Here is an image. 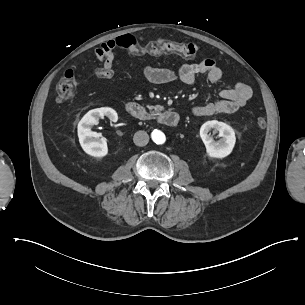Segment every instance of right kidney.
I'll use <instances>...</instances> for the list:
<instances>
[{"label":"right kidney","instance_id":"ca27d5eb","mask_svg":"<svg viewBox=\"0 0 305 305\" xmlns=\"http://www.w3.org/2000/svg\"><path fill=\"white\" fill-rule=\"evenodd\" d=\"M108 117L111 122L118 120L117 113L112 108H98L87 112L78 124V138L83 151L89 156L102 158L108 155V147L103 139L94 140L95 133L91 127L98 124L100 118Z\"/></svg>","mask_w":305,"mask_h":305}]
</instances>
